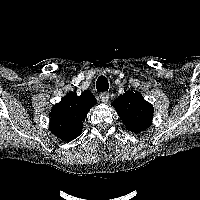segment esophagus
Instances as JSON below:
<instances>
[{
  "instance_id": "1",
  "label": "esophagus",
  "mask_w": 200,
  "mask_h": 200,
  "mask_svg": "<svg viewBox=\"0 0 200 200\" xmlns=\"http://www.w3.org/2000/svg\"><path fill=\"white\" fill-rule=\"evenodd\" d=\"M100 100L103 102V103H107L108 100H109V93L104 91L100 94Z\"/></svg>"
}]
</instances>
